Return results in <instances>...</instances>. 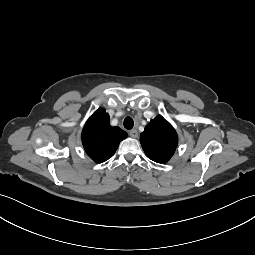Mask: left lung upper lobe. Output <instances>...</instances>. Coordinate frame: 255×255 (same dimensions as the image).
<instances>
[{"label":"left lung upper lobe","instance_id":"left-lung-upper-lobe-1","mask_svg":"<svg viewBox=\"0 0 255 255\" xmlns=\"http://www.w3.org/2000/svg\"><path fill=\"white\" fill-rule=\"evenodd\" d=\"M140 143L148 158L157 163H166L175 152L178 137L174 128L158 115L141 133Z\"/></svg>","mask_w":255,"mask_h":255}]
</instances>
